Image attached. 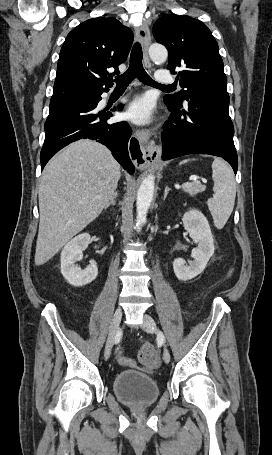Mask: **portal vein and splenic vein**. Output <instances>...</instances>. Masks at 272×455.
<instances>
[{"label": "portal vein and splenic vein", "instance_id": "portal-vein-and-splenic-vein-1", "mask_svg": "<svg viewBox=\"0 0 272 455\" xmlns=\"http://www.w3.org/2000/svg\"><path fill=\"white\" fill-rule=\"evenodd\" d=\"M195 184H200V181L197 180V181H193L191 183H185V184L182 185V188H184V189L185 188H190V187H192Z\"/></svg>", "mask_w": 272, "mask_h": 455}]
</instances>
